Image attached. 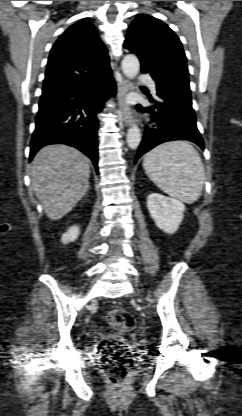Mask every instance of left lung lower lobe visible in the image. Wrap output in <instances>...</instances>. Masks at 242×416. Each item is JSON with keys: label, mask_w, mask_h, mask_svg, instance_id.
I'll return each mask as SVG.
<instances>
[{"label": "left lung lower lobe", "mask_w": 242, "mask_h": 416, "mask_svg": "<svg viewBox=\"0 0 242 416\" xmlns=\"http://www.w3.org/2000/svg\"><path fill=\"white\" fill-rule=\"evenodd\" d=\"M150 101L153 102L150 107L136 106L139 111L149 113L154 124L151 128H145L135 162L155 146L172 140H188L204 149V141L196 126V115L191 99L157 89V99L150 98Z\"/></svg>", "instance_id": "left-lung-lower-lobe-1"}]
</instances>
